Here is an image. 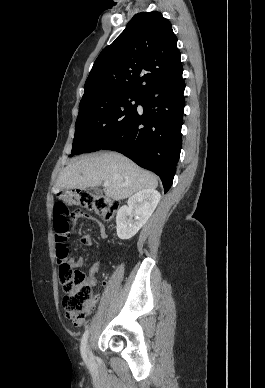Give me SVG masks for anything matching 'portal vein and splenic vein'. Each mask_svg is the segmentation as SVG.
<instances>
[{"label":"portal vein and splenic vein","instance_id":"1","mask_svg":"<svg viewBox=\"0 0 265 388\" xmlns=\"http://www.w3.org/2000/svg\"><path fill=\"white\" fill-rule=\"evenodd\" d=\"M104 186L105 188H107V186H110L109 182H104Z\"/></svg>","mask_w":265,"mask_h":388}]
</instances>
